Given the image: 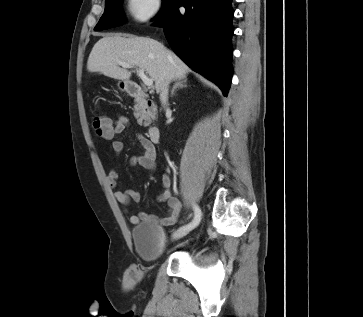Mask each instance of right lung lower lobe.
Here are the masks:
<instances>
[{"instance_id":"1","label":"right lung lower lobe","mask_w":363,"mask_h":317,"mask_svg":"<svg viewBox=\"0 0 363 317\" xmlns=\"http://www.w3.org/2000/svg\"><path fill=\"white\" fill-rule=\"evenodd\" d=\"M232 0H172L155 24L174 52L226 96L232 78ZM185 7L180 13L178 8Z\"/></svg>"}]
</instances>
